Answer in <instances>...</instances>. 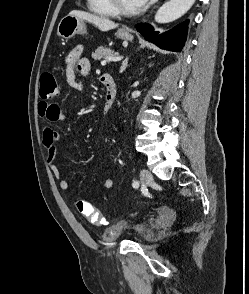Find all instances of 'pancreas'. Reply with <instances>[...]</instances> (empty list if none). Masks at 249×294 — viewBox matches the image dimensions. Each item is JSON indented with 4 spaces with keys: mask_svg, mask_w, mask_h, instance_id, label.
I'll use <instances>...</instances> for the list:
<instances>
[{
    "mask_svg": "<svg viewBox=\"0 0 249 294\" xmlns=\"http://www.w3.org/2000/svg\"><path fill=\"white\" fill-rule=\"evenodd\" d=\"M115 56L114 51L110 48H106L104 46L98 47L95 52L92 53V58L94 60H101L102 58Z\"/></svg>",
    "mask_w": 249,
    "mask_h": 294,
    "instance_id": "cf45deb5",
    "label": "pancreas"
}]
</instances>
